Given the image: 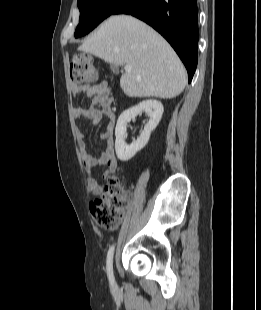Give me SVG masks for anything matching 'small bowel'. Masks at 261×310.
Masks as SVG:
<instances>
[{
    "mask_svg": "<svg viewBox=\"0 0 261 310\" xmlns=\"http://www.w3.org/2000/svg\"><path fill=\"white\" fill-rule=\"evenodd\" d=\"M72 92L74 94L84 93L90 99V105L87 108L75 107L73 114L77 120H87L93 125L100 124L105 118H109V122L105 129L101 132L100 138L105 141V147L100 156L96 157L90 154L86 149V141L83 133L77 130V141L82 151V160L85 169L89 172L87 178L88 190L98 195L103 192V186L90 174L91 170L102 165L105 168L103 177L107 178L109 175L114 174L117 170V159L114 153V115L112 112L111 104L112 99L110 96L109 86L106 82H101L97 85H83L73 86Z\"/></svg>",
    "mask_w": 261,
    "mask_h": 310,
    "instance_id": "obj_1",
    "label": "small bowel"
}]
</instances>
